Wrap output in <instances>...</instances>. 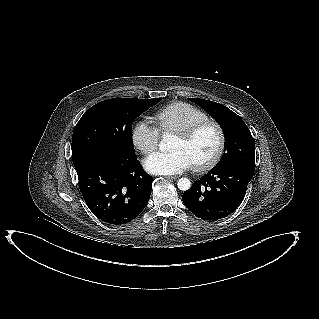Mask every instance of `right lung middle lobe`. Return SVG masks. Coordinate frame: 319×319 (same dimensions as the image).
Returning a JSON list of instances; mask_svg holds the SVG:
<instances>
[{
	"mask_svg": "<svg viewBox=\"0 0 319 319\" xmlns=\"http://www.w3.org/2000/svg\"><path fill=\"white\" fill-rule=\"evenodd\" d=\"M161 99L113 98L87 110L72 136V158L99 148H110L126 158L136 156L132 142V123Z\"/></svg>",
	"mask_w": 319,
	"mask_h": 319,
	"instance_id": "1",
	"label": "right lung middle lobe"
}]
</instances>
